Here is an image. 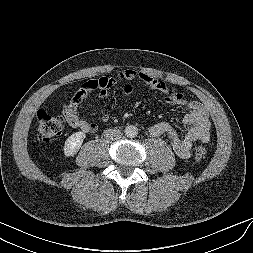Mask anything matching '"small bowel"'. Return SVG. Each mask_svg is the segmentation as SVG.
I'll use <instances>...</instances> for the list:
<instances>
[{"mask_svg":"<svg viewBox=\"0 0 253 253\" xmlns=\"http://www.w3.org/2000/svg\"><path fill=\"white\" fill-rule=\"evenodd\" d=\"M136 78H140L145 82L146 86L143 90L145 94L151 91H158L163 94L164 100L167 103L183 106L187 110V113L183 117V123L188 127V130L183 138H180L173 126L167 122L151 125L148 128L151 136L159 137L165 134L174 153L182 159H188L192 156V148L195 142L208 143L210 141L211 121L204 105L199 102L188 101L180 92L170 88L164 81L154 77L149 72L132 68L123 69L118 73V80L121 81V89L125 95L134 93L135 89L131 81ZM118 80L111 77H101L87 81L81 85L73 95L71 101L63 108V114L68 124L83 133H96L98 125L81 119L78 116L77 109L91 92L99 91L101 97L106 98L109 90ZM102 121L107 122L108 117L103 116Z\"/></svg>","mask_w":253,"mask_h":253,"instance_id":"obj_1","label":"small bowel"}]
</instances>
